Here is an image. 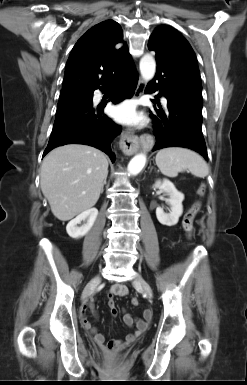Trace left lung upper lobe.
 Returning a JSON list of instances; mask_svg holds the SVG:
<instances>
[{
	"label": "left lung upper lobe",
	"instance_id": "left-lung-upper-lobe-1",
	"mask_svg": "<svg viewBox=\"0 0 247 385\" xmlns=\"http://www.w3.org/2000/svg\"><path fill=\"white\" fill-rule=\"evenodd\" d=\"M157 55L163 57L184 78L202 91L200 73L195 53L188 41L174 28L160 26L151 34L148 42Z\"/></svg>",
	"mask_w": 247,
	"mask_h": 385
}]
</instances>
